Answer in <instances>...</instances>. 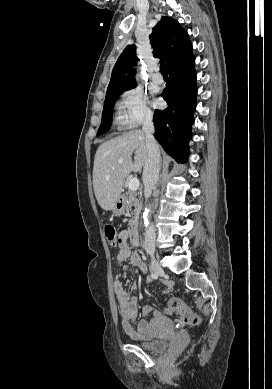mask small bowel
<instances>
[{"label":"small bowel","instance_id":"1","mask_svg":"<svg viewBox=\"0 0 272 389\" xmlns=\"http://www.w3.org/2000/svg\"><path fill=\"white\" fill-rule=\"evenodd\" d=\"M119 252L116 256V261L119 265L129 261L137 266L142 273H146V266L139 254L131 249L127 241V232H122L118 237ZM137 283H132L131 288L137 289ZM114 293L119 306V311L122 320V327L125 333L133 340H148L153 336L151 330V322L142 319L137 323V328L134 324L138 318V298L136 296L129 297L120 280H115ZM171 291V286L166 284L163 293L168 294ZM144 314H152L154 318L161 316L160 312L151 306L143 307Z\"/></svg>","mask_w":272,"mask_h":389}]
</instances>
